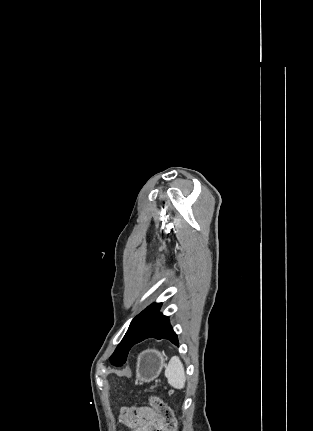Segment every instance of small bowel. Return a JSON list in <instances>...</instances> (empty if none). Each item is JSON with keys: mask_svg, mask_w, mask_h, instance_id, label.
Masks as SVG:
<instances>
[{"mask_svg": "<svg viewBox=\"0 0 313 431\" xmlns=\"http://www.w3.org/2000/svg\"><path fill=\"white\" fill-rule=\"evenodd\" d=\"M120 420L132 431H154L158 416L154 410L148 407H130L121 410Z\"/></svg>", "mask_w": 313, "mask_h": 431, "instance_id": "1", "label": "small bowel"}]
</instances>
